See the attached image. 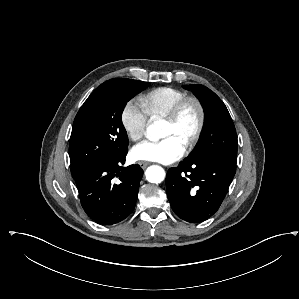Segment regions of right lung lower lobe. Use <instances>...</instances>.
Returning a JSON list of instances; mask_svg holds the SVG:
<instances>
[{
  "label": "right lung lower lobe",
  "mask_w": 299,
  "mask_h": 299,
  "mask_svg": "<svg viewBox=\"0 0 299 299\" xmlns=\"http://www.w3.org/2000/svg\"><path fill=\"white\" fill-rule=\"evenodd\" d=\"M126 154L127 151L93 166L75 178L83 209L100 224L120 222L135 207L143 170L139 165L123 168Z\"/></svg>",
  "instance_id": "1"
}]
</instances>
